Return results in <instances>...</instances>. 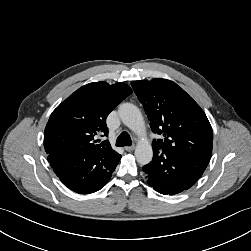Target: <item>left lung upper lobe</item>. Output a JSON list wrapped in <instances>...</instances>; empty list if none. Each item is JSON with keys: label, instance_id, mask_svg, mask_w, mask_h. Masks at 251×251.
Returning <instances> with one entry per match:
<instances>
[{"label": "left lung upper lobe", "instance_id": "1", "mask_svg": "<svg viewBox=\"0 0 251 251\" xmlns=\"http://www.w3.org/2000/svg\"><path fill=\"white\" fill-rule=\"evenodd\" d=\"M131 85L144 105L152 131L164 136L153 142V149L211 158L213 132L209 120L181 87L162 78Z\"/></svg>", "mask_w": 251, "mask_h": 251}]
</instances>
